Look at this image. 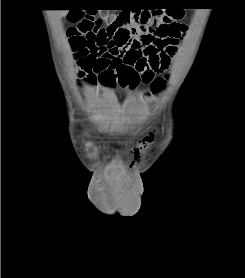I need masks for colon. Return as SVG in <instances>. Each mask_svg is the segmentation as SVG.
Segmentation results:
<instances>
[{"label":"colon","instance_id":"5ec220e1","mask_svg":"<svg viewBox=\"0 0 245 278\" xmlns=\"http://www.w3.org/2000/svg\"><path fill=\"white\" fill-rule=\"evenodd\" d=\"M175 18H180L181 13H172ZM70 28L66 32L68 43L77 57L82 51L91 58L104 57L105 50L97 49L100 46L115 45L119 48H129L134 51L140 47H148V53L161 54L165 51H175L182 39V33L177 25L169 18H163L158 10L149 8H136L122 10L107 26H102L100 21L93 22L82 18L80 12H72L67 16ZM87 32L86 42L79 38L80 32ZM164 47H166L164 49ZM89 67H87V70ZM83 74L80 72V76ZM152 77L145 76L149 81ZM137 77L121 79L120 86L134 88L138 83ZM162 78H154L151 91L158 92L162 87ZM147 149V140L141 139L136 146L137 153H144Z\"/></svg>","mask_w":245,"mask_h":278}]
</instances>
